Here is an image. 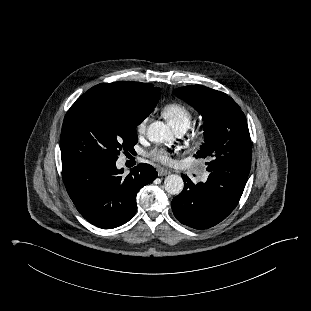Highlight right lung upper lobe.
Masks as SVG:
<instances>
[{
    "label": "right lung upper lobe",
    "instance_id": "cb5924a9",
    "mask_svg": "<svg viewBox=\"0 0 311 311\" xmlns=\"http://www.w3.org/2000/svg\"><path fill=\"white\" fill-rule=\"evenodd\" d=\"M106 84L117 87L123 91L132 93L142 99L160 96V88H155L152 84H149V83L115 82V83H106Z\"/></svg>",
    "mask_w": 311,
    "mask_h": 311
}]
</instances>
